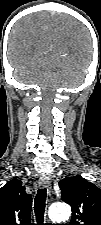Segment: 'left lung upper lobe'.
<instances>
[{
  "instance_id": "5c2ea615",
  "label": "left lung upper lobe",
  "mask_w": 101,
  "mask_h": 225,
  "mask_svg": "<svg viewBox=\"0 0 101 225\" xmlns=\"http://www.w3.org/2000/svg\"><path fill=\"white\" fill-rule=\"evenodd\" d=\"M61 199L72 207L73 217L68 225H101V190L79 176L66 177L59 182Z\"/></svg>"
}]
</instances>
